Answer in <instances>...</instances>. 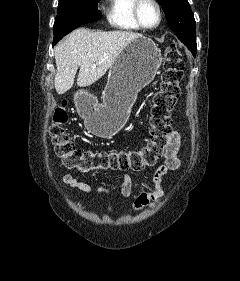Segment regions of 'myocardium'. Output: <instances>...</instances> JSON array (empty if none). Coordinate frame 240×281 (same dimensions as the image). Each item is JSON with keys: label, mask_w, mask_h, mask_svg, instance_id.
<instances>
[{"label": "myocardium", "mask_w": 240, "mask_h": 281, "mask_svg": "<svg viewBox=\"0 0 240 281\" xmlns=\"http://www.w3.org/2000/svg\"><path fill=\"white\" fill-rule=\"evenodd\" d=\"M146 1V0H135L134 2V5H133V16H134V19L136 21V23L142 28V29H145V30H154L156 28H158L162 21H163V9H162V5L161 3L159 2V0H148L150 2H152L156 9H157V12H158V21L155 25L153 26H147L143 23L142 19H141V16H140V6L141 4Z\"/></svg>", "instance_id": "1"}]
</instances>
